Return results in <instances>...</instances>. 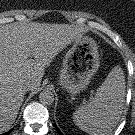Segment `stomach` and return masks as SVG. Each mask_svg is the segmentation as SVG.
<instances>
[{
  "instance_id": "1",
  "label": "stomach",
  "mask_w": 135,
  "mask_h": 135,
  "mask_svg": "<svg viewBox=\"0 0 135 135\" xmlns=\"http://www.w3.org/2000/svg\"><path fill=\"white\" fill-rule=\"evenodd\" d=\"M99 56L97 45L92 38L83 36L82 39L75 41L65 55L58 78L59 85L71 96L85 90L98 71Z\"/></svg>"
}]
</instances>
